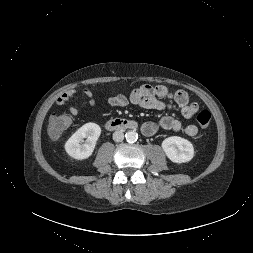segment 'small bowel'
I'll return each mask as SVG.
<instances>
[{
  "mask_svg": "<svg viewBox=\"0 0 253 253\" xmlns=\"http://www.w3.org/2000/svg\"><path fill=\"white\" fill-rule=\"evenodd\" d=\"M76 94L75 90H68L62 93L56 100L57 106H62L71 100ZM82 94L88 99L91 106L96 104L92 92L88 89H83ZM168 99L176 104L185 119H190L199 109L198 104L189 101L188 93L184 90L170 91L165 85H149L145 84L133 90L129 96L118 94L109 97L107 102L112 107H125L128 104L140 106L145 109L165 110L172 107L171 103L162 101ZM69 111L72 115L79 113V108L76 105H71ZM170 130L173 132H182L188 137H194L198 133V128L193 124L183 125L180 120L165 116L159 122L147 121L142 124L141 130L145 136L154 135L158 128Z\"/></svg>",
  "mask_w": 253,
  "mask_h": 253,
  "instance_id": "obj_1",
  "label": "small bowel"
}]
</instances>
